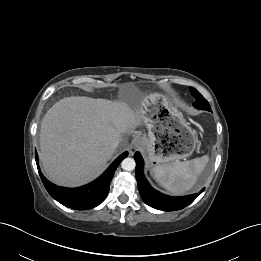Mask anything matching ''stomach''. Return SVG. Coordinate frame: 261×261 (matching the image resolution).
Instances as JSON below:
<instances>
[{"mask_svg":"<svg viewBox=\"0 0 261 261\" xmlns=\"http://www.w3.org/2000/svg\"><path fill=\"white\" fill-rule=\"evenodd\" d=\"M144 110L148 136L140 139L150 167L176 162L193 153L197 145L195 131L165 96L151 94Z\"/></svg>","mask_w":261,"mask_h":261,"instance_id":"stomach-1","label":"stomach"}]
</instances>
